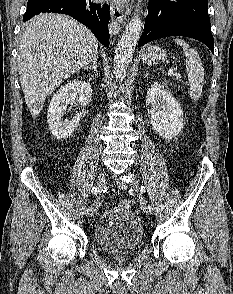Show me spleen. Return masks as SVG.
Listing matches in <instances>:
<instances>
[{"mask_svg": "<svg viewBox=\"0 0 233 294\" xmlns=\"http://www.w3.org/2000/svg\"><path fill=\"white\" fill-rule=\"evenodd\" d=\"M175 42L183 48L186 57V73L190 84L189 96L193 102L197 101L202 93L204 84V68L198 52L190 48L189 44L182 39H175Z\"/></svg>", "mask_w": 233, "mask_h": 294, "instance_id": "spleen-1", "label": "spleen"}]
</instances>
